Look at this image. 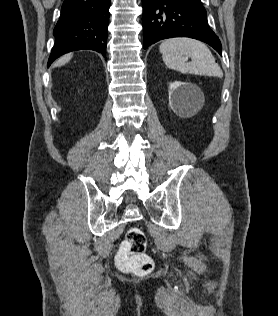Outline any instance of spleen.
Listing matches in <instances>:
<instances>
[{
	"label": "spleen",
	"mask_w": 278,
	"mask_h": 316,
	"mask_svg": "<svg viewBox=\"0 0 278 316\" xmlns=\"http://www.w3.org/2000/svg\"><path fill=\"white\" fill-rule=\"evenodd\" d=\"M166 66L181 73L222 77L223 72L209 48L202 42L187 37L171 38L159 46ZM191 58L186 62L185 58Z\"/></svg>",
	"instance_id": "1"
}]
</instances>
